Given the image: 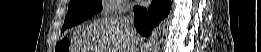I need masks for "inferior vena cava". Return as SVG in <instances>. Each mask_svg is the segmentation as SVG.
I'll list each match as a JSON object with an SVG mask.
<instances>
[{
    "label": "inferior vena cava",
    "instance_id": "602c4592",
    "mask_svg": "<svg viewBox=\"0 0 261 52\" xmlns=\"http://www.w3.org/2000/svg\"><path fill=\"white\" fill-rule=\"evenodd\" d=\"M119 22L121 26L124 28L126 34L131 38V40L136 42V34L133 28L134 17H133V8L129 4H123L120 7V15H119ZM133 50V52H137V46Z\"/></svg>",
    "mask_w": 261,
    "mask_h": 52
}]
</instances>
